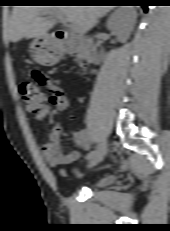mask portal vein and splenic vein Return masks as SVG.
<instances>
[{
    "instance_id": "18ae733b",
    "label": "portal vein and splenic vein",
    "mask_w": 170,
    "mask_h": 231,
    "mask_svg": "<svg viewBox=\"0 0 170 231\" xmlns=\"http://www.w3.org/2000/svg\"><path fill=\"white\" fill-rule=\"evenodd\" d=\"M57 19L64 25H67V21L64 19V17L62 15H57ZM69 27L72 29V30H75V26L73 24H69Z\"/></svg>"
}]
</instances>
